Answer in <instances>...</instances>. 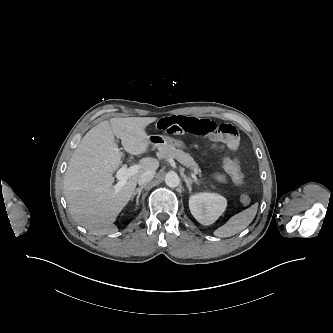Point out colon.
Masks as SVG:
<instances>
[{"label": "colon", "mask_w": 333, "mask_h": 333, "mask_svg": "<svg viewBox=\"0 0 333 333\" xmlns=\"http://www.w3.org/2000/svg\"><path fill=\"white\" fill-rule=\"evenodd\" d=\"M212 148H220V146L216 143H211L210 145ZM224 172L227 176L230 177V179L238 185H241L244 183V175L240 170L239 165L236 163L234 158L225 157L222 162ZM240 202L243 205H248L251 202V198L247 194H243L240 197Z\"/></svg>", "instance_id": "1"}]
</instances>
